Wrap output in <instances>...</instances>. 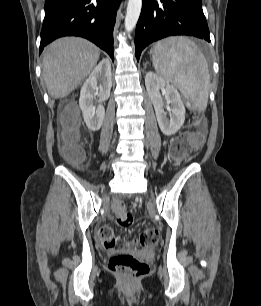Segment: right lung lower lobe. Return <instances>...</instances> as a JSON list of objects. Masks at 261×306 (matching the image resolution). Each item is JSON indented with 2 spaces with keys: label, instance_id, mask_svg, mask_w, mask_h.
<instances>
[{
  "label": "right lung lower lobe",
  "instance_id": "1",
  "mask_svg": "<svg viewBox=\"0 0 261 306\" xmlns=\"http://www.w3.org/2000/svg\"><path fill=\"white\" fill-rule=\"evenodd\" d=\"M121 0H46L40 53L62 36L84 37L113 56V28Z\"/></svg>",
  "mask_w": 261,
  "mask_h": 306
}]
</instances>
